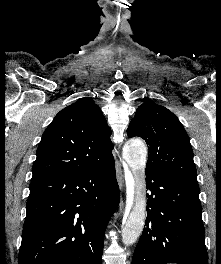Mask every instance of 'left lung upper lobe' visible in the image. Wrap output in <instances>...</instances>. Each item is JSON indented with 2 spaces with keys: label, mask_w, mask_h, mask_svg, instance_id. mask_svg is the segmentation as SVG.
<instances>
[{
  "label": "left lung upper lobe",
  "mask_w": 221,
  "mask_h": 264,
  "mask_svg": "<svg viewBox=\"0 0 221 264\" xmlns=\"http://www.w3.org/2000/svg\"><path fill=\"white\" fill-rule=\"evenodd\" d=\"M127 135L146 141L149 150L146 171L197 183L189 137L178 118L167 108L150 100L144 102L136 110Z\"/></svg>",
  "instance_id": "5c2ea615"
}]
</instances>
